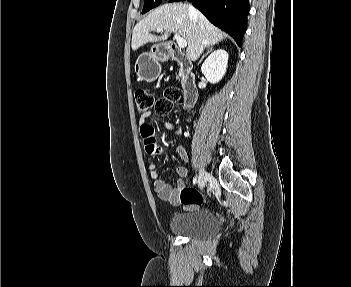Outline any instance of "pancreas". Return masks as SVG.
Instances as JSON below:
<instances>
[{
  "label": "pancreas",
  "mask_w": 351,
  "mask_h": 287,
  "mask_svg": "<svg viewBox=\"0 0 351 287\" xmlns=\"http://www.w3.org/2000/svg\"><path fill=\"white\" fill-rule=\"evenodd\" d=\"M182 76H183V69L181 68L180 71H179V75L177 76V79H179Z\"/></svg>",
  "instance_id": "1"
}]
</instances>
